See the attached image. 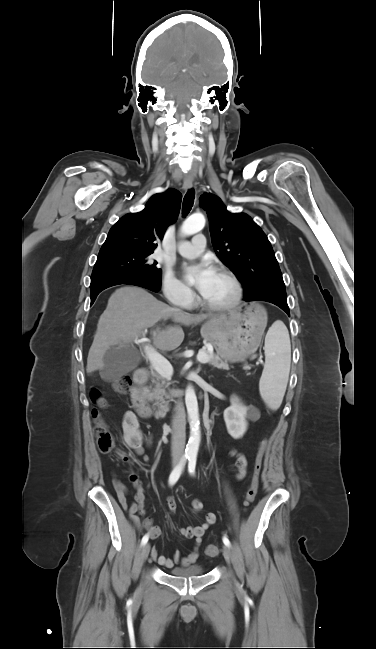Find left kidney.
Here are the masks:
<instances>
[{
    "label": "left kidney",
    "instance_id": "obj_1",
    "mask_svg": "<svg viewBox=\"0 0 376 649\" xmlns=\"http://www.w3.org/2000/svg\"><path fill=\"white\" fill-rule=\"evenodd\" d=\"M231 406L224 411V421L228 433L235 439L244 435L247 430V407L240 403L236 396L230 399Z\"/></svg>",
    "mask_w": 376,
    "mask_h": 649
}]
</instances>
